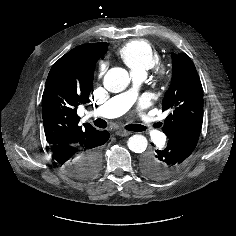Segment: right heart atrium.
<instances>
[{
    "label": "right heart atrium",
    "instance_id": "d8ad5b80",
    "mask_svg": "<svg viewBox=\"0 0 236 236\" xmlns=\"http://www.w3.org/2000/svg\"><path fill=\"white\" fill-rule=\"evenodd\" d=\"M105 69H106L105 62H101L99 65V76H101L104 73Z\"/></svg>",
    "mask_w": 236,
    "mask_h": 236
}]
</instances>
